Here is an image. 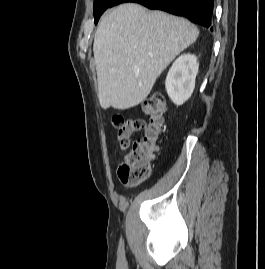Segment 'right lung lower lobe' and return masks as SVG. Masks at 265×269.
<instances>
[{
  "mask_svg": "<svg viewBox=\"0 0 265 269\" xmlns=\"http://www.w3.org/2000/svg\"><path fill=\"white\" fill-rule=\"evenodd\" d=\"M125 2L139 3L149 9H159L183 16L206 28L211 26L214 0H114L110 7Z\"/></svg>",
  "mask_w": 265,
  "mask_h": 269,
  "instance_id": "right-lung-lower-lobe-1",
  "label": "right lung lower lobe"
}]
</instances>
